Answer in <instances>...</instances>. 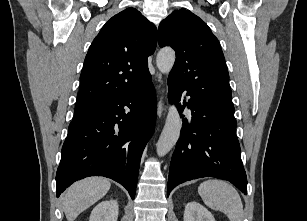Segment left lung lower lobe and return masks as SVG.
Instances as JSON below:
<instances>
[{
  "instance_id": "left-lung-lower-lobe-1",
  "label": "left lung lower lobe",
  "mask_w": 307,
  "mask_h": 221,
  "mask_svg": "<svg viewBox=\"0 0 307 221\" xmlns=\"http://www.w3.org/2000/svg\"><path fill=\"white\" fill-rule=\"evenodd\" d=\"M169 99L181 114L185 106L191 109L192 119H183L180 138L172 156L168 195L179 184L201 177H216L230 181L244 194L247 178L241 160L240 145L236 136V119L227 116L208 104L190 96L183 100L186 90L175 79L168 78Z\"/></svg>"
}]
</instances>
